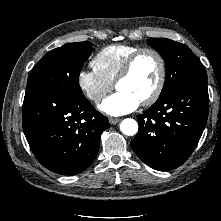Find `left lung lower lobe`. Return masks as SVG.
<instances>
[{
  "instance_id": "left-lung-lower-lobe-1",
  "label": "left lung lower lobe",
  "mask_w": 221,
  "mask_h": 221,
  "mask_svg": "<svg viewBox=\"0 0 221 221\" xmlns=\"http://www.w3.org/2000/svg\"><path fill=\"white\" fill-rule=\"evenodd\" d=\"M208 110L207 80L180 86L138 116L139 131L131 142L133 151L155 170L181 166L203 133Z\"/></svg>"
}]
</instances>
